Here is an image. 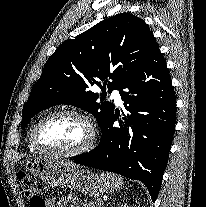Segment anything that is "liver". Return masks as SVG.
I'll use <instances>...</instances> for the list:
<instances>
[{"instance_id":"1","label":"liver","mask_w":206,"mask_h":207,"mask_svg":"<svg viewBox=\"0 0 206 207\" xmlns=\"http://www.w3.org/2000/svg\"><path fill=\"white\" fill-rule=\"evenodd\" d=\"M67 164H72V163H69V162H66ZM74 165V164H73Z\"/></svg>"}]
</instances>
